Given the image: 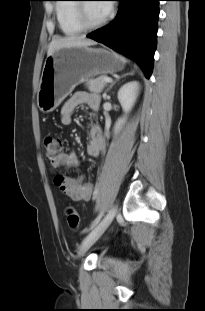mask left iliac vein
<instances>
[{"label":"left iliac vein","instance_id":"left-iliac-vein-1","mask_svg":"<svg viewBox=\"0 0 205 311\" xmlns=\"http://www.w3.org/2000/svg\"><path fill=\"white\" fill-rule=\"evenodd\" d=\"M118 208L116 205L112 206L104 218L91 230V232L84 238L79 249V256H82L105 232L112 220L116 216Z\"/></svg>","mask_w":205,"mask_h":311}]
</instances>
